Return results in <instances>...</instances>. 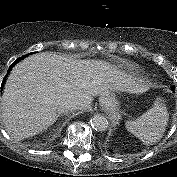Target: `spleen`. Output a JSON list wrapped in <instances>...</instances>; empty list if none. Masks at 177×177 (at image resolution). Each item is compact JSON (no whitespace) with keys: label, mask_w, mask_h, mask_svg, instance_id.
Here are the masks:
<instances>
[{"label":"spleen","mask_w":177,"mask_h":177,"mask_svg":"<svg viewBox=\"0 0 177 177\" xmlns=\"http://www.w3.org/2000/svg\"><path fill=\"white\" fill-rule=\"evenodd\" d=\"M169 120V114L164 101L157 98L152 108L135 120L127 121L125 126L129 132L145 144L159 141Z\"/></svg>","instance_id":"obj_1"}]
</instances>
